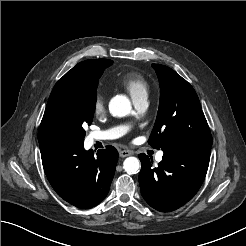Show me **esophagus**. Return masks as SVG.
Instances as JSON below:
<instances>
[{"mask_svg":"<svg viewBox=\"0 0 246 246\" xmlns=\"http://www.w3.org/2000/svg\"><path fill=\"white\" fill-rule=\"evenodd\" d=\"M119 155L120 157L124 158V157L132 155V152L129 150H121L119 151Z\"/></svg>","mask_w":246,"mask_h":246,"instance_id":"1","label":"esophagus"}]
</instances>
